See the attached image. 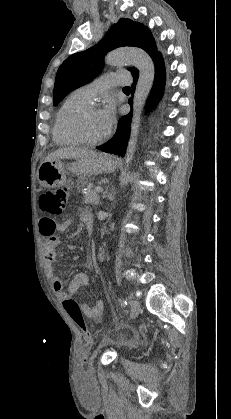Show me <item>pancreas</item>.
<instances>
[{
	"label": "pancreas",
	"mask_w": 231,
	"mask_h": 419,
	"mask_svg": "<svg viewBox=\"0 0 231 419\" xmlns=\"http://www.w3.org/2000/svg\"><path fill=\"white\" fill-rule=\"evenodd\" d=\"M100 197L97 194L96 190L93 188H88L84 194L83 203L91 204L97 206L99 204Z\"/></svg>",
	"instance_id": "cf45deb5"
}]
</instances>
